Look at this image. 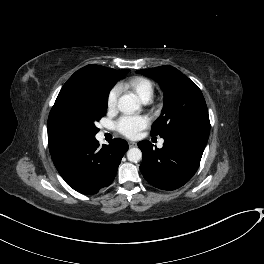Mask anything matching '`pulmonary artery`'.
Returning a JSON list of instances; mask_svg holds the SVG:
<instances>
[{
  "label": "pulmonary artery",
  "mask_w": 264,
  "mask_h": 264,
  "mask_svg": "<svg viewBox=\"0 0 264 264\" xmlns=\"http://www.w3.org/2000/svg\"><path fill=\"white\" fill-rule=\"evenodd\" d=\"M144 102L146 103V102H148V101H144ZM162 143H163V140H161L159 144L162 145Z\"/></svg>",
  "instance_id": "1"
}]
</instances>
